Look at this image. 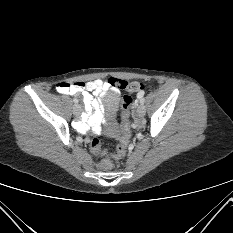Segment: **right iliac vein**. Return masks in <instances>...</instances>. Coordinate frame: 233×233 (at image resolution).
<instances>
[{
    "mask_svg": "<svg viewBox=\"0 0 233 233\" xmlns=\"http://www.w3.org/2000/svg\"><path fill=\"white\" fill-rule=\"evenodd\" d=\"M81 111H82V109H81V106L80 105H74V107H73V114L74 115H79L80 113H81Z\"/></svg>",
    "mask_w": 233,
    "mask_h": 233,
    "instance_id": "right-iliac-vein-1",
    "label": "right iliac vein"
}]
</instances>
